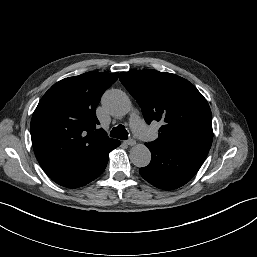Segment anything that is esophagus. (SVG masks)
Returning <instances> with one entry per match:
<instances>
[{
    "mask_svg": "<svg viewBox=\"0 0 257 257\" xmlns=\"http://www.w3.org/2000/svg\"><path fill=\"white\" fill-rule=\"evenodd\" d=\"M125 143H126L127 145H129V146H134V145L136 144V141L133 140V139H129V140L125 141Z\"/></svg>",
    "mask_w": 257,
    "mask_h": 257,
    "instance_id": "34e87169",
    "label": "esophagus"
}]
</instances>
